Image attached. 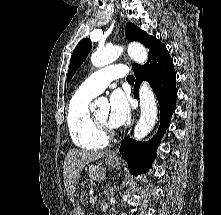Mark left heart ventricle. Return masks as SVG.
Returning a JSON list of instances; mask_svg holds the SVG:
<instances>
[{
    "mask_svg": "<svg viewBox=\"0 0 221 215\" xmlns=\"http://www.w3.org/2000/svg\"><path fill=\"white\" fill-rule=\"evenodd\" d=\"M108 114H109L108 108L104 107L96 113V116L101 121L108 123Z\"/></svg>",
    "mask_w": 221,
    "mask_h": 215,
    "instance_id": "1",
    "label": "left heart ventricle"
}]
</instances>
